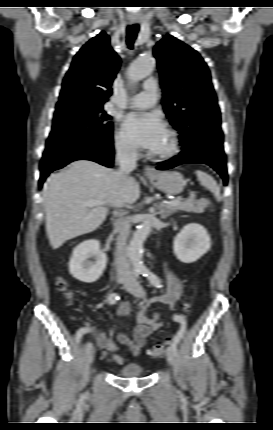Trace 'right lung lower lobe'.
Here are the masks:
<instances>
[{
	"mask_svg": "<svg viewBox=\"0 0 273 430\" xmlns=\"http://www.w3.org/2000/svg\"><path fill=\"white\" fill-rule=\"evenodd\" d=\"M114 149L113 143L107 146L91 144L61 151L42 158L39 179V187H42L46 177L54 170L60 169L75 160H91L106 167L113 166Z\"/></svg>",
	"mask_w": 273,
	"mask_h": 430,
	"instance_id": "98d812e1",
	"label": "right lung lower lobe"
}]
</instances>
